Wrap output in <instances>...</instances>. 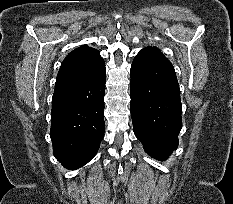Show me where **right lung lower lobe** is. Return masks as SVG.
I'll return each instance as SVG.
<instances>
[{"mask_svg":"<svg viewBox=\"0 0 233 204\" xmlns=\"http://www.w3.org/2000/svg\"><path fill=\"white\" fill-rule=\"evenodd\" d=\"M105 65L82 82L56 89L52 98L50 137L55 158L77 169L97 153L104 137Z\"/></svg>","mask_w":233,"mask_h":204,"instance_id":"right-lung-lower-lobe-1","label":"right lung lower lobe"}]
</instances>
